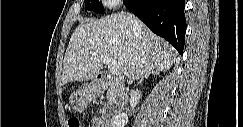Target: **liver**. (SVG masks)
Masks as SVG:
<instances>
[{
  "label": "liver",
  "mask_w": 243,
  "mask_h": 127,
  "mask_svg": "<svg viewBox=\"0 0 243 127\" xmlns=\"http://www.w3.org/2000/svg\"><path fill=\"white\" fill-rule=\"evenodd\" d=\"M131 14L117 13L86 20L72 33L63 60L62 84L95 78L108 56L121 69V79H135L147 71H167L175 50Z\"/></svg>",
  "instance_id": "1"
}]
</instances>
